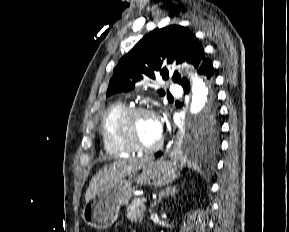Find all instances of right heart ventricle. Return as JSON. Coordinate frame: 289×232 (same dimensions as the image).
<instances>
[{
	"label": "right heart ventricle",
	"mask_w": 289,
	"mask_h": 232,
	"mask_svg": "<svg viewBox=\"0 0 289 232\" xmlns=\"http://www.w3.org/2000/svg\"><path fill=\"white\" fill-rule=\"evenodd\" d=\"M128 107L122 102L108 106L101 119L100 133L106 153L112 157H127L133 152L128 149L118 136V122Z\"/></svg>",
	"instance_id": "1"
}]
</instances>
